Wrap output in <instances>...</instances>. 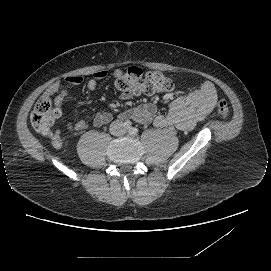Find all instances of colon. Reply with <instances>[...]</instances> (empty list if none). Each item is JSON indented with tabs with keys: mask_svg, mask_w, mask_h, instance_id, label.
<instances>
[{
	"mask_svg": "<svg viewBox=\"0 0 271 271\" xmlns=\"http://www.w3.org/2000/svg\"><path fill=\"white\" fill-rule=\"evenodd\" d=\"M116 86L121 92L133 95H154L172 89V82L158 71L144 73L138 67H130L116 81ZM219 114L227 118L230 114L228 104L224 100L217 102ZM61 114L60 109L53 106L51 96L44 94L36 103L31 114L33 127L44 135H50L55 121Z\"/></svg>",
	"mask_w": 271,
	"mask_h": 271,
	"instance_id": "colon-1",
	"label": "colon"
}]
</instances>
